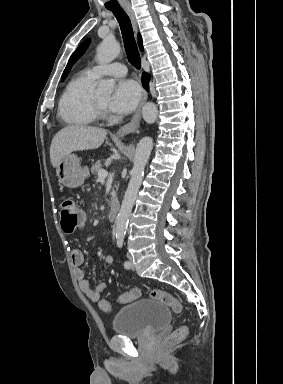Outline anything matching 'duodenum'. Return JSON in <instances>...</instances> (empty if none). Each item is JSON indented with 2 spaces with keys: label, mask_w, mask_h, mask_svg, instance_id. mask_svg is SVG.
Returning a JSON list of instances; mask_svg holds the SVG:
<instances>
[{
  "label": "duodenum",
  "mask_w": 283,
  "mask_h": 384,
  "mask_svg": "<svg viewBox=\"0 0 283 384\" xmlns=\"http://www.w3.org/2000/svg\"><path fill=\"white\" fill-rule=\"evenodd\" d=\"M119 210H120V205L117 201H115L108 211V219L110 222H114L117 219Z\"/></svg>",
  "instance_id": "1"
}]
</instances>
